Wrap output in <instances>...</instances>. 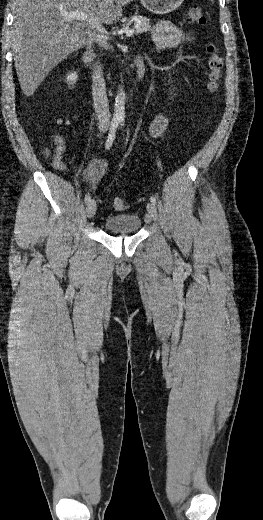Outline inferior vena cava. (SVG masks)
I'll use <instances>...</instances> for the list:
<instances>
[{
	"mask_svg": "<svg viewBox=\"0 0 263 520\" xmlns=\"http://www.w3.org/2000/svg\"><path fill=\"white\" fill-rule=\"evenodd\" d=\"M92 96L96 118L100 131H106L110 125V112L106 94V85L101 65L96 64L92 75Z\"/></svg>",
	"mask_w": 263,
	"mask_h": 520,
	"instance_id": "inferior-vena-cava-1",
	"label": "inferior vena cava"
}]
</instances>
